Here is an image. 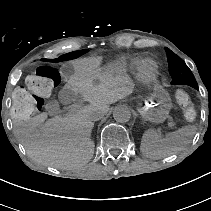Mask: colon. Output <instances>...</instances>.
Here are the masks:
<instances>
[{
	"label": "colon",
	"instance_id": "1",
	"mask_svg": "<svg viewBox=\"0 0 211 211\" xmlns=\"http://www.w3.org/2000/svg\"><path fill=\"white\" fill-rule=\"evenodd\" d=\"M59 83L60 75L57 70L50 66L38 67L35 72L27 76L24 85L13 92L12 118L23 122L41 112L45 99L51 95ZM175 98L182 109L184 119L187 122H193L197 111L189 94L184 90H178Z\"/></svg>",
	"mask_w": 211,
	"mask_h": 211
}]
</instances>
